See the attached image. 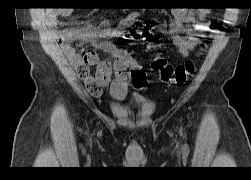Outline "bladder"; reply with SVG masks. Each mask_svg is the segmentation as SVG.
Instances as JSON below:
<instances>
[{"label":"bladder","instance_id":"bladder-1","mask_svg":"<svg viewBox=\"0 0 251 180\" xmlns=\"http://www.w3.org/2000/svg\"><path fill=\"white\" fill-rule=\"evenodd\" d=\"M149 104V100L147 99H138L136 102H135V105L136 106H145Z\"/></svg>","mask_w":251,"mask_h":180}]
</instances>
